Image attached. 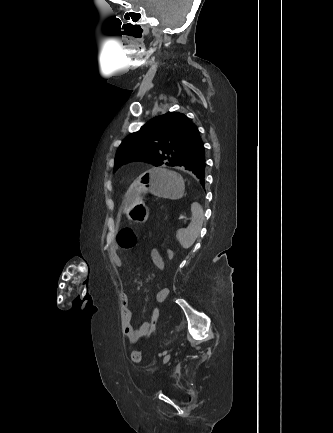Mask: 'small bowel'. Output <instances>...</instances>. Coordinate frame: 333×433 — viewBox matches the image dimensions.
<instances>
[{"label": "small bowel", "mask_w": 333, "mask_h": 433, "mask_svg": "<svg viewBox=\"0 0 333 433\" xmlns=\"http://www.w3.org/2000/svg\"><path fill=\"white\" fill-rule=\"evenodd\" d=\"M109 257L111 262L114 264V266L121 267L122 262L115 245L111 246L109 250ZM150 258L153 264L159 270L165 269L166 266L165 261L156 249L151 250ZM168 295H169L168 288L160 289L155 296L156 303H163L167 299ZM120 302H121L120 319H121V327H122L123 334L129 343L135 344L140 339L148 336L152 332V330H150L149 321L144 322L139 327L135 328L131 322L132 313L130 310V298L128 294L126 293L121 294Z\"/></svg>", "instance_id": "small-bowel-1"}]
</instances>
